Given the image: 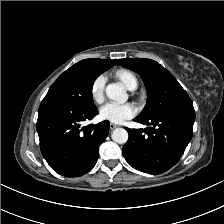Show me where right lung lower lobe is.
<instances>
[{
  "label": "right lung lower lobe",
  "instance_id": "obj_1",
  "mask_svg": "<svg viewBox=\"0 0 224 224\" xmlns=\"http://www.w3.org/2000/svg\"><path fill=\"white\" fill-rule=\"evenodd\" d=\"M98 110L77 109L69 104L43 99L38 110L37 132L43 157L58 174L76 177L89 172L97 162L99 146L108 135L109 121L81 127Z\"/></svg>",
  "mask_w": 224,
  "mask_h": 224
}]
</instances>
